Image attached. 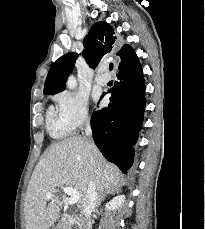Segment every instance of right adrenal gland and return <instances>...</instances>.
<instances>
[{"label": "right adrenal gland", "instance_id": "1", "mask_svg": "<svg viewBox=\"0 0 205 229\" xmlns=\"http://www.w3.org/2000/svg\"><path fill=\"white\" fill-rule=\"evenodd\" d=\"M114 192L115 191L113 189H108L105 192H100V194L98 196L97 206H99L101 204V202L105 199L106 195L114 194Z\"/></svg>", "mask_w": 205, "mask_h": 229}]
</instances>
